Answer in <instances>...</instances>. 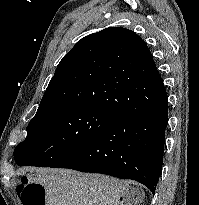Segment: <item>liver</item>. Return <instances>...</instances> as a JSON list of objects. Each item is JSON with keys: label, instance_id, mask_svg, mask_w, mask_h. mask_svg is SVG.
Instances as JSON below:
<instances>
[{"label": "liver", "instance_id": "liver-1", "mask_svg": "<svg viewBox=\"0 0 199 205\" xmlns=\"http://www.w3.org/2000/svg\"><path fill=\"white\" fill-rule=\"evenodd\" d=\"M38 181L44 186L46 205H118L135 201L127 182L100 174L67 169H42Z\"/></svg>", "mask_w": 199, "mask_h": 205}]
</instances>
